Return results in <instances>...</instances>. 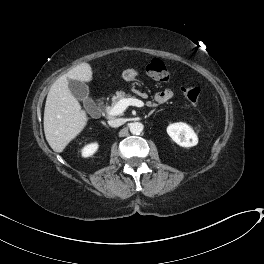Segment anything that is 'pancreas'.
<instances>
[{
    "mask_svg": "<svg viewBox=\"0 0 264 264\" xmlns=\"http://www.w3.org/2000/svg\"><path fill=\"white\" fill-rule=\"evenodd\" d=\"M131 95L126 94L124 91H117L116 94L112 97V106H114L121 99H126Z\"/></svg>",
    "mask_w": 264,
    "mask_h": 264,
    "instance_id": "cf45deb5",
    "label": "pancreas"
}]
</instances>
